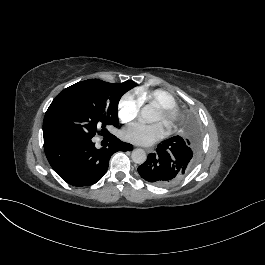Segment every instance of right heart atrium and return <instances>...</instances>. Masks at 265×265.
Segmentation results:
<instances>
[{
	"instance_id": "right-heart-atrium-1",
	"label": "right heart atrium",
	"mask_w": 265,
	"mask_h": 265,
	"mask_svg": "<svg viewBox=\"0 0 265 265\" xmlns=\"http://www.w3.org/2000/svg\"><path fill=\"white\" fill-rule=\"evenodd\" d=\"M142 107V102L137 95L127 93L119 103V118L123 123L134 120Z\"/></svg>"
}]
</instances>
